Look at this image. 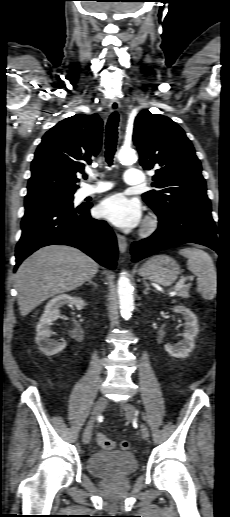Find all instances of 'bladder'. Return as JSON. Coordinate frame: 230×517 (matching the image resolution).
<instances>
[{"label":"bladder","instance_id":"1","mask_svg":"<svg viewBox=\"0 0 230 517\" xmlns=\"http://www.w3.org/2000/svg\"><path fill=\"white\" fill-rule=\"evenodd\" d=\"M90 474L100 478H125L137 469V460L129 452L105 451L92 454L87 462Z\"/></svg>","mask_w":230,"mask_h":517}]
</instances>
